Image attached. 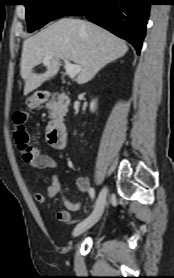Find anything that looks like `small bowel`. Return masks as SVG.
I'll use <instances>...</instances> for the list:
<instances>
[{"mask_svg":"<svg viewBox=\"0 0 174 278\" xmlns=\"http://www.w3.org/2000/svg\"><path fill=\"white\" fill-rule=\"evenodd\" d=\"M28 165L34 169L50 168L55 170L51 177V183L45 193L37 192L35 193L34 198L36 202L43 204L47 197L60 195L65 209L57 213V219L62 223L69 222L71 220L72 212L78 211L81 208V203H74L64 195L62 184L59 179V167L57 162L51 156L39 153L34 160L28 162ZM76 187L83 193L89 192L90 188H92L89 179L86 177L77 178Z\"/></svg>","mask_w":174,"mask_h":278,"instance_id":"c3829d8e","label":"small bowel"}]
</instances>
